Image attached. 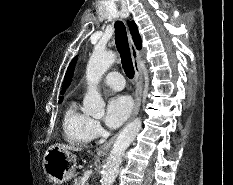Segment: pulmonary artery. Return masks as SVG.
Listing matches in <instances>:
<instances>
[{
  "instance_id": "pulmonary-artery-1",
  "label": "pulmonary artery",
  "mask_w": 233,
  "mask_h": 185,
  "mask_svg": "<svg viewBox=\"0 0 233 185\" xmlns=\"http://www.w3.org/2000/svg\"><path fill=\"white\" fill-rule=\"evenodd\" d=\"M103 84L114 90H121L124 87V78L118 72H109L103 78Z\"/></svg>"
}]
</instances>
